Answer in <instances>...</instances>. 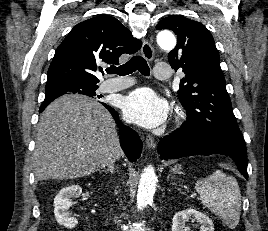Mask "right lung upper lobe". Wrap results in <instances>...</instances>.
Returning a JSON list of instances; mask_svg holds the SVG:
<instances>
[{
    "instance_id": "obj_1",
    "label": "right lung upper lobe",
    "mask_w": 268,
    "mask_h": 231,
    "mask_svg": "<svg viewBox=\"0 0 268 231\" xmlns=\"http://www.w3.org/2000/svg\"><path fill=\"white\" fill-rule=\"evenodd\" d=\"M141 41L116 18L101 15L77 24L58 46L47 74V83L68 80L97 84L100 63L118 64L123 53L133 54ZM53 99H45V109Z\"/></svg>"
}]
</instances>
